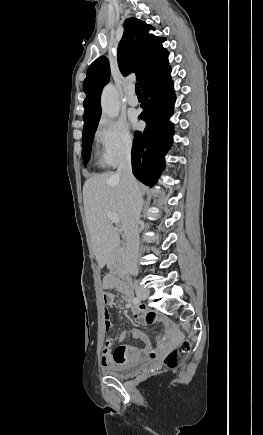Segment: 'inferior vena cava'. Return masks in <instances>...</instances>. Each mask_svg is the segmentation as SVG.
<instances>
[{"label":"inferior vena cava","mask_w":263,"mask_h":435,"mask_svg":"<svg viewBox=\"0 0 263 435\" xmlns=\"http://www.w3.org/2000/svg\"><path fill=\"white\" fill-rule=\"evenodd\" d=\"M117 175L121 178L124 189L129 223L126 227V268L129 273L137 274V256L139 252V229L143 199L139 185L132 174L131 152L128 151L121 158Z\"/></svg>","instance_id":"602c4592"}]
</instances>
